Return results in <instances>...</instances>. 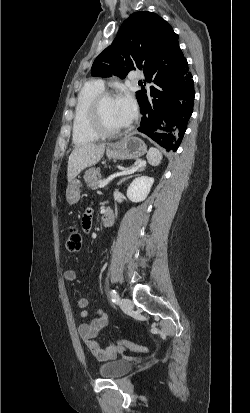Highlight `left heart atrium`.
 <instances>
[{
  "mask_svg": "<svg viewBox=\"0 0 250 413\" xmlns=\"http://www.w3.org/2000/svg\"><path fill=\"white\" fill-rule=\"evenodd\" d=\"M116 104L124 123L127 125L136 117L137 108L133 96L128 92H122L116 98Z\"/></svg>",
  "mask_w": 250,
  "mask_h": 413,
  "instance_id": "1",
  "label": "left heart atrium"
}]
</instances>
